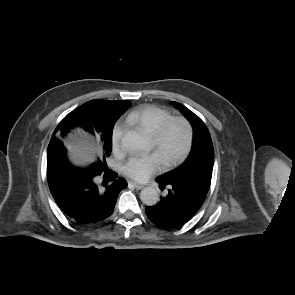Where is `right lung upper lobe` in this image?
<instances>
[{
	"mask_svg": "<svg viewBox=\"0 0 295 295\" xmlns=\"http://www.w3.org/2000/svg\"><path fill=\"white\" fill-rule=\"evenodd\" d=\"M125 101H107V100H91L84 105H82L83 108H87L91 118L93 120V123L88 128H83V130L87 132H93L95 125H97V120L101 118L102 116H109V115H115L117 114L122 105ZM72 115L73 113H69L65 119L62 120V122L58 125L55 132L56 133L59 130V133L54 136L51 141H58L62 145L63 143L60 140V136L65 135L70 128L74 126V123L72 121ZM95 119V120H94ZM64 146V145H63Z\"/></svg>",
	"mask_w": 295,
	"mask_h": 295,
	"instance_id": "1",
	"label": "right lung upper lobe"
}]
</instances>
